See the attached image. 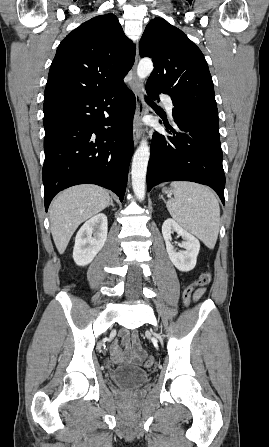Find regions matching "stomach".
Wrapping results in <instances>:
<instances>
[{
    "instance_id": "0dacf381",
    "label": "stomach",
    "mask_w": 269,
    "mask_h": 447,
    "mask_svg": "<svg viewBox=\"0 0 269 447\" xmlns=\"http://www.w3.org/2000/svg\"><path fill=\"white\" fill-rule=\"evenodd\" d=\"M163 192H165V194H168V192H167L166 188H164Z\"/></svg>"
}]
</instances>
